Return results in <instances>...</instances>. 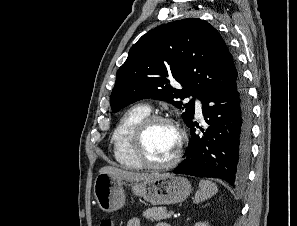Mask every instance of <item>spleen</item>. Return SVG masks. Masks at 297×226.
Here are the masks:
<instances>
[{
    "label": "spleen",
    "mask_w": 297,
    "mask_h": 226,
    "mask_svg": "<svg viewBox=\"0 0 297 226\" xmlns=\"http://www.w3.org/2000/svg\"><path fill=\"white\" fill-rule=\"evenodd\" d=\"M218 191V187L210 180H201L199 189L195 194L194 203H199L211 198Z\"/></svg>",
    "instance_id": "3e777b00"
}]
</instances>
